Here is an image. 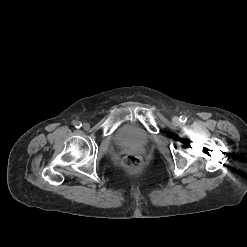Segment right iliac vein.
<instances>
[{"mask_svg": "<svg viewBox=\"0 0 247 247\" xmlns=\"http://www.w3.org/2000/svg\"><path fill=\"white\" fill-rule=\"evenodd\" d=\"M83 128H84L85 130H89V128H90L89 123H84V124H83Z\"/></svg>", "mask_w": 247, "mask_h": 247, "instance_id": "obj_1", "label": "right iliac vein"}]
</instances>
